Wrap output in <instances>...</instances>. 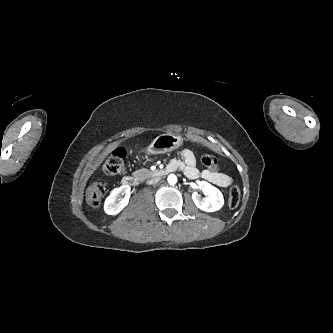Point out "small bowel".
I'll return each mask as SVG.
<instances>
[{
    "instance_id": "obj_1",
    "label": "small bowel",
    "mask_w": 333,
    "mask_h": 333,
    "mask_svg": "<svg viewBox=\"0 0 333 333\" xmlns=\"http://www.w3.org/2000/svg\"><path fill=\"white\" fill-rule=\"evenodd\" d=\"M170 164L175 165L176 169H180L190 179H203L218 187L226 188L232 183V178L220 172L210 170L199 171L196 167V158L194 153L189 149L182 151V160L174 159Z\"/></svg>"
}]
</instances>
